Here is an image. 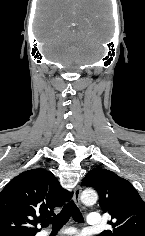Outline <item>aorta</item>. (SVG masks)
<instances>
[{
    "instance_id": "762f6f07",
    "label": "aorta",
    "mask_w": 145,
    "mask_h": 236,
    "mask_svg": "<svg viewBox=\"0 0 145 236\" xmlns=\"http://www.w3.org/2000/svg\"><path fill=\"white\" fill-rule=\"evenodd\" d=\"M98 195L94 190H84L81 194V201L85 205H93L97 202Z\"/></svg>"
}]
</instances>
